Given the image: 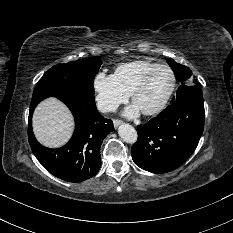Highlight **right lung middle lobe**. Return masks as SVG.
<instances>
[{"label": "right lung middle lobe", "instance_id": "dd1d6c3e", "mask_svg": "<svg viewBox=\"0 0 233 233\" xmlns=\"http://www.w3.org/2000/svg\"><path fill=\"white\" fill-rule=\"evenodd\" d=\"M101 64L100 59L91 57L53 66L38 82L32 101L53 96L94 102L93 81Z\"/></svg>", "mask_w": 233, "mask_h": 233}]
</instances>
